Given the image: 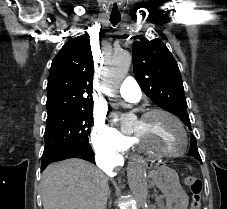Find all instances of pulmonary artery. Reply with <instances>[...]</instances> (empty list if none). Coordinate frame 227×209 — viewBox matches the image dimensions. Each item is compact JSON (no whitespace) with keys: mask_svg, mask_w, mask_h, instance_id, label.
<instances>
[{"mask_svg":"<svg viewBox=\"0 0 227 209\" xmlns=\"http://www.w3.org/2000/svg\"><path fill=\"white\" fill-rule=\"evenodd\" d=\"M121 96L128 100H137L140 96V86L138 81L133 77H127L120 86Z\"/></svg>","mask_w":227,"mask_h":209,"instance_id":"pulmonary-artery-1","label":"pulmonary artery"}]
</instances>
